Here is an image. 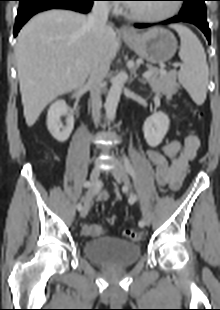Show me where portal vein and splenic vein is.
Wrapping results in <instances>:
<instances>
[{
  "label": "portal vein and splenic vein",
  "instance_id": "18ae733b",
  "mask_svg": "<svg viewBox=\"0 0 220 310\" xmlns=\"http://www.w3.org/2000/svg\"><path fill=\"white\" fill-rule=\"evenodd\" d=\"M174 67H177L178 66V64H174L173 65ZM159 73H165V71H163V70H159ZM152 72H150V71H146L145 73H143V77L144 78H150L151 76H152Z\"/></svg>",
  "mask_w": 220,
  "mask_h": 310
}]
</instances>
